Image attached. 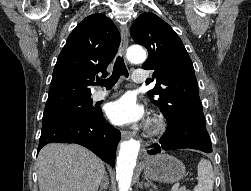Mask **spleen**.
<instances>
[{"mask_svg":"<svg viewBox=\"0 0 251 191\" xmlns=\"http://www.w3.org/2000/svg\"><path fill=\"white\" fill-rule=\"evenodd\" d=\"M198 183L194 187V191H213L214 171L209 159L201 157L198 163Z\"/></svg>","mask_w":251,"mask_h":191,"instance_id":"1","label":"spleen"}]
</instances>
